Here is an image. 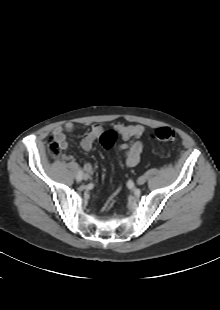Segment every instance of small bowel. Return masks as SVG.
I'll return each instance as SVG.
<instances>
[{"label": "small bowel", "mask_w": 220, "mask_h": 310, "mask_svg": "<svg viewBox=\"0 0 220 310\" xmlns=\"http://www.w3.org/2000/svg\"><path fill=\"white\" fill-rule=\"evenodd\" d=\"M114 128L120 136L126 141L118 145L117 150L123 154L124 163L127 167L136 166L141 157L143 151V143L139 140L144 134V127L140 124H115ZM74 130V124L68 122L63 126L57 127L52 133L54 140L60 143L63 150L68 147V141L66 134ZM104 132V126L101 124H93L90 131L86 136L81 140V148L84 151H90L93 148L94 143L100 138ZM84 170L86 174H92L93 167L91 164L86 163L84 165Z\"/></svg>", "instance_id": "1"}]
</instances>
